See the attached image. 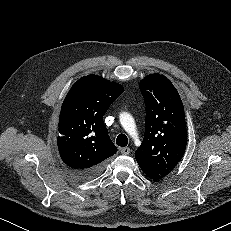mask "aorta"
Wrapping results in <instances>:
<instances>
[{
    "label": "aorta",
    "mask_w": 231,
    "mask_h": 231,
    "mask_svg": "<svg viewBox=\"0 0 231 231\" xmlns=\"http://www.w3.org/2000/svg\"><path fill=\"white\" fill-rule=\"evenodd\" d=\"M120 123L130 136H132L133 138L137 137L138 133L136 130L135 121L129 113L123 112L120 114Z\"/></svg>",
    "instance_id": "aorta-1"
}]
</instances>
